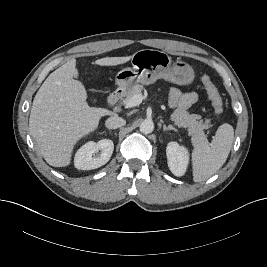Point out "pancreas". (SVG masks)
<instances>
[{"instance_id": "1", "label": "pancreas", "mask_w": 267, "mask_h": 267, "mask_svg": "<svg viewBox=\"0 0 267 267\" xmlns=\"http://www.w3.org/2000/svg\"><path fill=\"white\" fill-rule=\"evenodd\" d=\"M142 91L143 86L136 84L128 90L123 103L126 104L133 96L140 95ZM171 120L174 121L175 125L178 127L188 128L194 144L207 142V136L204 130L210 128L211 125L208 120L203 122L200 115L189 114L185 109L177 108L172 112Z\"/></svg>"}]
</instances>
